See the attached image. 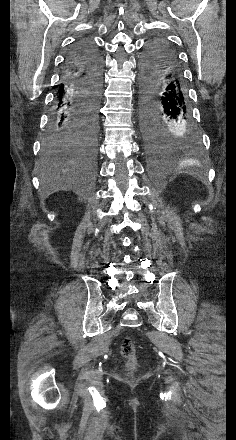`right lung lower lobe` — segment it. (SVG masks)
I'll return each instance as SVG.
<instances>
[{
    "label": "right lung lower lobe",
    "mask_w": 236,
    "mask_h": 440,
    "mask_svg": "<svg viewBox=\"0 0 236 440\" xmlns=\"http://www.w3.org/2000/svg\"><path fill=\"white\" fill-rule=\"evenodd\" d=\"M102 82V57L95 44L81 39L72 47L64 68L49 123L50 132L75 133L83 130L89 103L83 95L86 85ZM90 146V151L95 152Z\"/></svg>",
    "instance_id": "right-lung-lower-lobe-1"
}]
</instances>
